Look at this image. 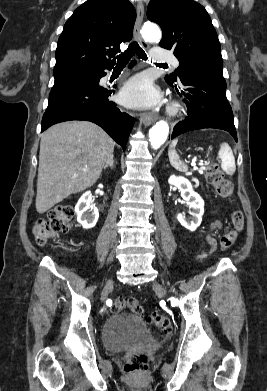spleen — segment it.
Segmentation results:
<instances>
[{
    "mask_svg": "<svg viewBox=\"0 0 267 391\" xmlns=\"http://www.w3.org/2000/svg\"><path fill=\"white\" fill-rule=\"evenodd\" d=\"M178 140L175 139L169 146L168 156L170 164L178 171H187L188 166L179 159V156L175 150ZM218 157L221 159V168L228 174L233 175L236 171L235 158L230 146L227 143H221Z\"/></svg>",
    "mask_w": 267,
    "mask_h": 391,
    "instance_id": "obj_1",
    "label": "spleen"
}]
</instances>
